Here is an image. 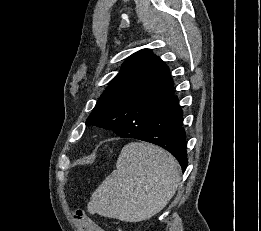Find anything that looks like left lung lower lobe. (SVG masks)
I'll use <instances>...</instances> for the list:
<instances>
[{"label": "left lung lower lobe", "mask_w": 261, "mask_h": 231, "mask_svg": "<svg viewBox=\"0 0 261 231\" xmlns=\"http://www.w3.org/2000/svg\"><path fill=\"white\" fill-rule=\"evenodd\" d=\"M182 124L183 113L176 98L150 122L143 133L124 138H135L163 147L179 161L184 172L188 159L186 134Z\"/></svg>", "instance_id": "0a47b994"}]
</instances>
